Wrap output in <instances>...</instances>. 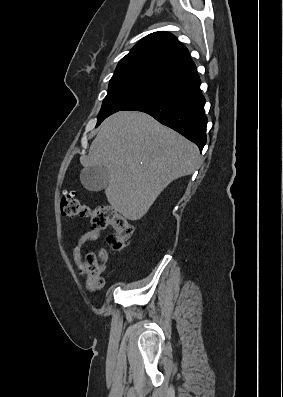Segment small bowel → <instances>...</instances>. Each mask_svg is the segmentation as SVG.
Segmentation results:
<instances>
[{"label":"small bowel","mask_w":283,"mask_h":397,"mask_svg":"<svg viewBox=\"0 0 283 397\" xmlns=\"http://www.w3.org/2000/svg\"><path fill=\"white\" fill-rule=\"evenodd\" d=\"M101 238V232L97 229H91L78 234L75 238V244L72 249V257L77 267L81 265L82 249L87 242L97 241Z\"/></svg>","instance_id":"small-bowel-1"}]
</instances>
